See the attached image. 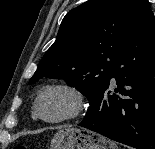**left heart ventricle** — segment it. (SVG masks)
Segmentation results:
<instances>
[{
    "label": "left heart ventricle",
    "instance_id": "obj_1",
    "mask_svg": "<svg viewBox=\"0 0 155 149\" xmlns=\"http://www.w3.org/2000/svg\"><path fill=\"white\" fill-rule=\"evenodd\" d=\"M71 97L61 91H51L40 101V112L46 118H57L66 115L72 108Z\"/></svg>",
    "mask_w": 155,
    "mask_h": 149
}]
</instances>
